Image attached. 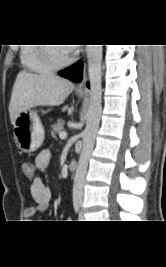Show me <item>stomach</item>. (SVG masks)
<instances>
[{
    "label": "stomach",
    "instance_id": "0dacf381",
    "mask_svg": "<svg viewBox=\"0 0 166 267\" xmlns=\"http://www.w3.org/2000/svg\"><path fill=\"white\" fill-rule=\"evenodd\" d=\"M13 135L17 147L25 153L34 152L42 145L44 129L36 110L28 109L19 114L13 126Z\"/></svg>",
    "mask_w": 166,
    "mask_h": 267
}]
</instances>
